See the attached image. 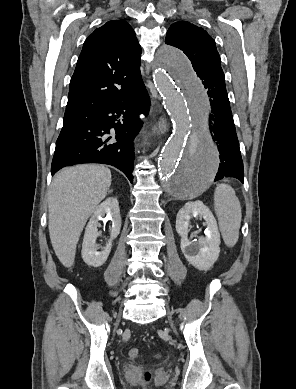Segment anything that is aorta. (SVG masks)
Here are the masks:
<instances>
[{
	"instance_id": "1",
	"label": "aorta",
	"mask_w": 296,
	"mask_h": 389,
	"mask_svg": "<svg viewBox=\"0 0 296 389\" xmlns=\"http://www.w3.org/2000/svg\"><path fill=\"white\" fill-rule=\"evenodd\" d=\"M154 83L173 123L159 159L164 189L179 198L206 189L218 170V151L207 129L209 91L182 51L163 46L157 53Z\"/></svg>"
}]
</instances>
